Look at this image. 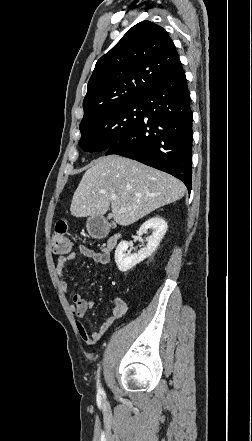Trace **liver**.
<instances>
[{"label": "liver", "mask_w": 252, "mask_h": 441, "mask_svg": "<svg viewBox=\"0 0 252 441\" xmlns=\"http://www.w3.org/2000/svg\"><path fill=\"white\" fill-rule=\"evenodd\" d=\"M185 191L183 182L165 172L110 155L95 160L85 172L74 192L70 212L80 218L102 216L111 205L114 221L129 226L181 199ZM112 195H116L115 200L111 199Z\"/></svg>", "instance_id": "1"}]
</instances>
